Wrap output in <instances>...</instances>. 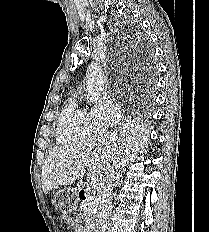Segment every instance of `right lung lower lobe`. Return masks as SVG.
<instances>
[{"instance_id": "1", "label": "right lung lower lobe", "mask_w": 209, "mask_h": 232, "mask_svg": "<svg viewBox=\"0 0 209 232\" xmlns=\"http://www.w3.org/2000/svg\"><path fill=\"white\" fill-rule=\"evenodd\" d=\"M140 59L147 65V78L150 79L153 69V52L147 46H144L140 51Z\"/></svg>"}]
</instances>
